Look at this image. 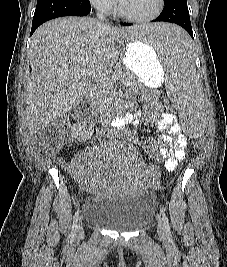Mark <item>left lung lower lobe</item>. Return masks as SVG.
<instances>
[{"label": "left lung lower lobe", "instance_id": "1", "mask_svg": "<svg viewBox=\"0 0 227 267\" xmlns=\"http://www.w3.org/2000/svg\"><path fill=\"white\" fill-rule=\"evenodd\" d=\"M164 4L163 11L152 22H170L178 24L193 38L187 0H164ZM122 25L130 26L132 24L122 23ZM180 45V43L174 44L175 47H179Z\"/></svg>", "mask_w": 227, "mask_h": 267}]
</instances>
